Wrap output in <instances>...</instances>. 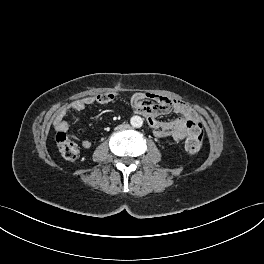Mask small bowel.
Masks as SVG:
<instances>
[{
	"instance_id": "small-bowel-1",
	"label": "small bowel",
	"mask_w": 264,
	"mask_h": 264,
	"mask_svg": "<svg viewBox=\"0 0 264 264\" xmlns=\"http://www.w3.org/2000/svg\"><path fill=\"white\" fill-rule=\"evenodd\" d=\"M117 97L115 93H103L94 97H86L62 107L55 115L54 127L58 132L67 130L65 117L69 111L82 112L87 106L104 105L113 102ZM134 111L143 115L157 138L171 137L176 141L184 139L188 134L190 121H199L196 112L186 103L178 99H172L163 95L136 92L130 98ZM174 112L180 117L169 121H160L159 115ZM84 148H90L92 141L80 140Z\"/></svg>"
}]
</instances>
